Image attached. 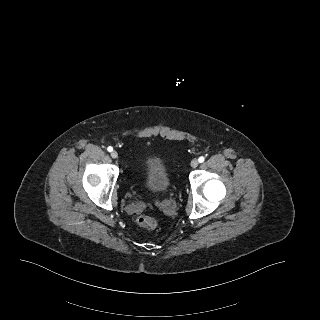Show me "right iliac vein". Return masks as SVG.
Here are the masks:
<instances>
[{
	"label": "right iliac vein",
	"instance_id": "1",
	"mask_svg": "<svg viewBox=\"0 0 320 320\" xmlns=\"http://www.w3.org/2000/svg\"><path fill=\"white\" fill-rule=\"evenodd\" d=\"M111 157H112L113 159H116V158L118 157V153H117L116 151H113V152L111 153Z\"/></svg>",
	"mask_w": 320,
	"mask_h": 320
}]
</instances>
